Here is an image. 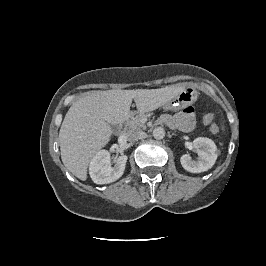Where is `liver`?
<instances>
[{"label": "liver", "mask_w": 266, "mask_h": 266, "mask_svg": "<svg viewBox=\"0 0 266 266\" xmlns=\"http://www.w3.org/2000/svg\"><path fill=\"white\" fill-rule=\"evenodd\" d=\"M183 86L159 89L90 91L69 108L59 131L61 159L78 179H87V168L93 157L110 140L111 125L130 116L132 100L137 111H153L173 98Z\"/></svg>", "instance_id": "obj_1"}]
</instances>
